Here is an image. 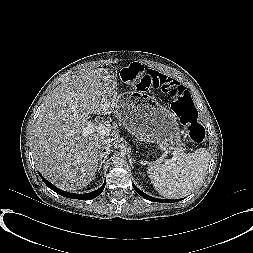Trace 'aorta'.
<instances>
[{
  "instance_id": "762f6f07",
  "label": "aorta",
  "mask_w": 253,
  "mask_h": 253,
  "mask_svg": "<svg viewBox=\"0 0 253 253\" xmlns=\"http://www.w3.org/2000/svg\"><path fill=\"white\" fill-rule=\"evenodd\" d=\"M126 161L122 156H116L113 159V164L116 167H123L125 165Z\"/></svg>"
}]
</instances>
